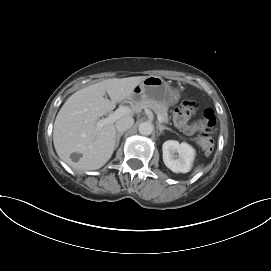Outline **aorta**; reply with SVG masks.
Here are the masks:
<instances>
[{
    "label": "aorta",
    "mask_w": 271,
    "mask_h": 271,
    "mask_svg": "<svg viewBox=\"0 0 271 271\" xmlns=\"http://www.w3.org/2000/svg\"><path fill=\"white\" fill-rule=\"evenodd\" d=\"M153 124L150 122H143L139 125V133L142 135H150L153 132Z\"/></svg>",
    "instance_id": "762f6f07"
}]
</instances>
